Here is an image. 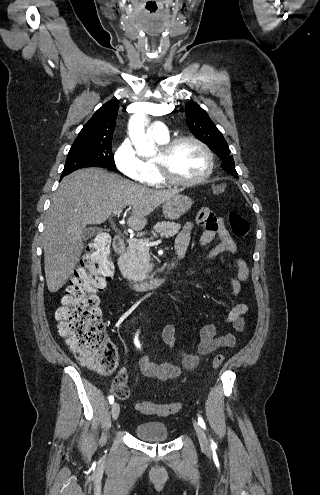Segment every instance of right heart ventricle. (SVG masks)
Returning a JSON list of instances; mask_svg holds the SVG:
<instances>
[{
  "mask_svg": "<svg viewBox=\"0 0 320 495\" xmlns=\"http://www.w3.org/2000/svg\"><path fill=\"white\" fill-rule=\"evenodd\" d=\"M159 144H164L166 143L168 140H158V139H155ZM146 164V167L148 168V170L150 171V174H151V179L149 181V183L151 185H154V186H160L162 184L165 183L164 180H162V178L159 176L158 174V171L156 169V166L154 164V161H147L145 162Z\"/></svg>",
  "mask_w": 320,
  "mask_h": 495,
  "instance_id": "right-heart-ventricle-1",
  "label": "right heart ventricle"
}]
</instances>
